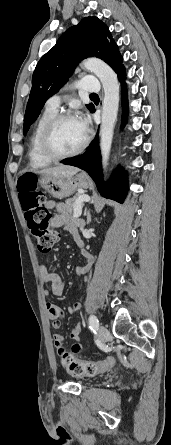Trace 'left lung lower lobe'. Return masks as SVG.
<instances>
[{
  "label": "left lung lower lobe",
  "mask_w": 171,
  "mask_h": 445,
  "mask_svg": "<svg viewBox=\"0 0 171 445\" xmlns=\"http://www.w3.org/2000/svg\"><path fill=\"white\" fill-rule=\"evenodd\" d=\"M118 77L123 85L122 88V107H123V124H126L127 119V97H126V86H125V69L124 66L119 67L116 70ZM95 108L91 110L93 113ZM63 164L73 165L84 169L91 178L97 184L98 190L102 196L106 198L114 199L120 203L123 202L127 191V175L119 168L112 176L107 187L102 189V167H101V155L98 145V136L96 139L87 147V151L77 157H72L64 159L61 161Z\"/></svg>",
  "instance_id": "1"
}]
</instances>
